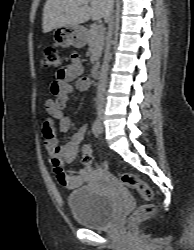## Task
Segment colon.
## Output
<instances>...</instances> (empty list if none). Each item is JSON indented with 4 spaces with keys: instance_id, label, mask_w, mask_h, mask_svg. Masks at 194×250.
<instances>
[{
    "instance_id": "5ec220e1",
    "label": "colon",
    "mask_w": 194,
    "mask_h": 250,
    "mask_svg": "<svg viewBox=\"0 0 194 250\" xmlns=\"http://www.w3.org/2000/svg\"><path fill=\"white\" fill-rule=\"evenodd\" d=\"M60 65L61 56L57 48L54 46L46 47L43 51L42 66L45 68H59ZM82 163L85 166H92L95 164L91 155V148L88 144L82 146ZM119 177L122 184L138 192L145 201V204L134 213L130 220L133 222L151 215L154 212V205L151 203L154 195L149 185L133 173L121 172Z\"/></svg>"
}]
</instances>
